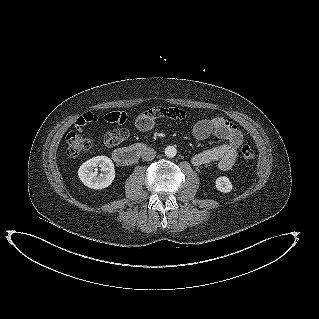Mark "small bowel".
I'll use <instances>...</instances> for the list:
<instances>
[{"label":"small bowel","instance_id":"1","mask_svg":"<svg viewBox=\"0 0 319 319\" xmlns=\"http://www.w3.org/2000/svg\"><path fill=\"white\" fill-rule=\"evenodd\" d=\"M185 117V111L176 107H153L138 115L135 126L139 131L151 130L158 119L166 118L181 120ZM97 117L92 112H87L76 121L77 130L81 131ZM193 136L198 140H204L211 135L224 141L223 144L204 150L192 157V164L196 167L208 164H216L223 171L229 170L236 162L239 148L243 142V135L240 129L223 116H209L197 121L192 130ZM130 136L129 130L116 128L104 135V144L114 147Z\"/></svg>","mask_w":319,"mask_h":319}]
</instances>
